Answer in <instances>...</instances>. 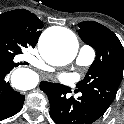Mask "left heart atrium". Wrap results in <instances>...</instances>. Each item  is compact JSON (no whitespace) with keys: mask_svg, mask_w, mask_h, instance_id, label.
Listing matches in <instances>:
<instances>
[{"mask_svg":"<svg viewBox=\"0 0 124 124\" xmlns=\"http://www.w3.org/2000/svg\"><path fill=\"white\" fill-rule=\"evenodd\" d=\"M60 79H61L62 81H64V82H66V81H68V79H69V75H68V74H62V75L60 76Z\"/></svg>","mask_w":124,"mask_h":124,"instance_id":"39dd6f15","label":"left heart atrium"}]
</instances>
